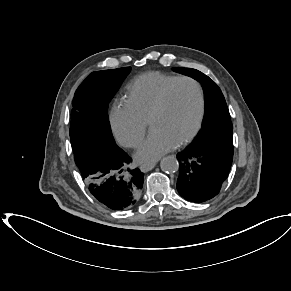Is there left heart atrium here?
<instances>
[{"label": "left heart atrium", "instance_id": "obj_1", "mask_svg": "<svg viewBox=\"0 0 291 291\" xmlns=\"http://www.w3.org/2000/svg\"><path fill=\"white\" fill-rule=\"evenodd\" d=\"M177 146V143L163 132L153 130L138 148L135 158L142 164L155 162Z\"/></svg>", "mask_w": 291, "mask_h": 291}]
</instances>
